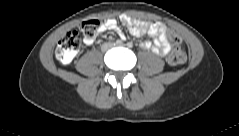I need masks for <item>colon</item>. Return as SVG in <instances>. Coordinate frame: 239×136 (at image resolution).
Segmentation results:
<instances>
[{
    "mask_svg": "<svg viewBox=\"0 0 239 136\" xmlns=\"http://www.w3.org/2000/svg\"><path fill=\"white\" fill-rule=\"evenodd\" d=\"M99 28V21L91 19L84 21L79 30L68 32L58 43L56 54L59 61L64 65H68L81 48L82 35L85 38L92 39L97 35ZM168 36L174 44V49L168 57V62L173 66L182 64L185 61L186 53L182 47L181 38L173 31L169 32Z\"/></svg>",
    "mask_w": 239,
    "mask_h": 136,
    "instance_id": "5ec220e1",
    "label": "colon"
}]
</instances>
